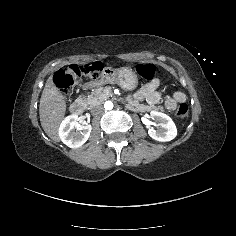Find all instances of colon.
Returning a JSON list of instances; mask_svg holds the SVG:
<instances>
[{
  "instance_id": "1",
  "label": "colon",
  "mask_w": 236,
  "mask_h": 236,
  "mask_svg": "<svg viewBox=\"0 0 236 236\" xmlns=\"http://www.w3.org/2000/svg\"><path fill=\"white\" fill-rule=\"evenodd\" d=\"M102 66L100 63L95 62L88 65H70L67 68L60 69L55 73L54 81L56 86L64 93L70 94L75 85L82 77L97 78L101 74ZM137 74L146 80L154 77L156 68L153 64L143 63L136 67ZM176 113L180 118H186L188 115V106L185 103L177 107Z\"/></svg>"
}]
</instances>
